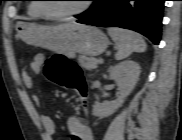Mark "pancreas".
<instances>
[{
	"label": "pancreas",
	"mask_w": 182,
	"mask_h": 140,
	"mask_svg": "<svg viewBox=\"0 0 182 140\" xmlns=\"http://www.w3.org/2000/svg\"><path fill=\"white\" fill-rule=\"evenodd\" d=\"M78 61L80 65L87 70L96 69L98 65V60L96 58L93 57L89 58L86 57L85 55H80Z\"/></svg>",
	"instance_id": "cf45deb5"
}]
</instances>
